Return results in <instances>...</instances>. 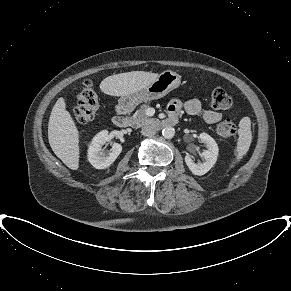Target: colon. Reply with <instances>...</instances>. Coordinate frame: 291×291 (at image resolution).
<instances>
[{"label": "colon", "mask_w": 291, "mask_h": 291, "mask_svg": "<svg viewBox=\"0 0 291 291\" xmlns=\"http://www.w3.org/2000/svg\"><path fill=\"white\" fill-rule=\"evenodd\" d=\"M210 104L216 110L226 109L231 105V98L224 89L216 88L211 94ZM99 107V98L93 84L90 81L84 82L77 104L71 111L72 116L79 123H88L93 120ZM216 132L221 138L232 137L236 132L235 122L230 118L222 120L217 125Z\"/></svg>", "instance_id": "colon-1"}]
</instances>
